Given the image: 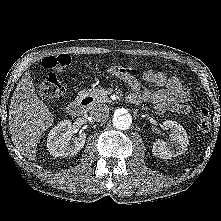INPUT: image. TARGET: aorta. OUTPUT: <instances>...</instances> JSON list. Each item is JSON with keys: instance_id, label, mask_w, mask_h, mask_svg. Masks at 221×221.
I'll return each instance as SVG.
<instances>
[{"instance_id": "aorta-1", "label": "aorta", "mask_w": 221, "mask_h": 221, "mask_svg": "<svg viewBox=\"0 0 221 221\" xmlns=\"http://www.w3.org/2000/svg\"><path fill=\"white\" fill-rule=\"evenodd\" d=\"M132 115L124 108L117 109L114 113L113 126L120 130L128 129L132 124Z\"/></svg>"}]
</instances>
